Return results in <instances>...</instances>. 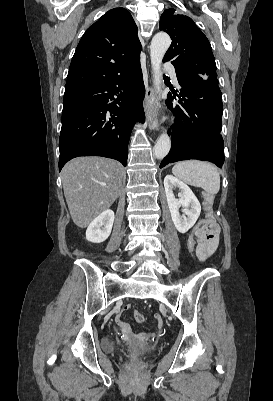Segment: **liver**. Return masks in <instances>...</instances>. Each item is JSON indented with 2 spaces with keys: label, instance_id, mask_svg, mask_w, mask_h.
<instances>
[{
  "label": "liver",
  "instance_id": "obj_1",
  "mask_svg": "<svg viewBox=\"0 0 273 401\" xmlns=\"http://www.w3.org/2000/svg\"><path fill=\"white\" fill-rule=\"evenodd\" d=\"M123 174L120 162L101 156H78L63 166V190L77 227L85 229L113 205L121 190Z\"/></svg>",
  "mask_w": 273,
  "mask_h": 401
}]
</instances>
